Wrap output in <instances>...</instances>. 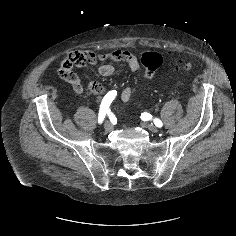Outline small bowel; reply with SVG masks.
<instances>
[{
    "mask_svg": "<svg viewBox=\"0 0 236 236\" xmlns=\"http://www.w3.org/2000/svg\"><path fill=\"white\" fill-rule=\"evenodd\" d=\"M64 61L71 64V68L66 72L63 78L71 85L76 94L83 92V85L80 78L73 72L75 67H84L100 63L99 73L103 77H109L114 74L116 65L127 66L133 73L140 69L139 59L132 53L122 50H114L106 53H95L91 50H74L67 54ZM88 88L95 94H102L105 91L104 85L92 81ZM133 95V86L127 85L121 91V98L129 101Z\"/></svg>",
    "mask_w": 236,
    "mask_h": 236,
    "instance_id": "obj_1",
    "label": "small bowel"
}]
</instances>
